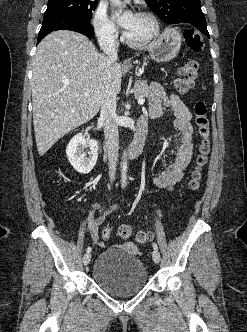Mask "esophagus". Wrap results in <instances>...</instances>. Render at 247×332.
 <instances>
[{"label":"esophagus","mask_w":247,"mask_h":332,"mask_svg":"<svg viewBox=\"0 0 247 332\" xmlns=\"http://www.w3.org/2000/svg\"><path fill=\"white\" fill-rule=\"evenodd\" d=\"M123 65H126V66H127V65H130V61H129V60H124V61H123Z\"/></svg>","instance_id":"34e87169"}]
</instances>
